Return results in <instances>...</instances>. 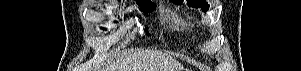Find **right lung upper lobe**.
I'll return each instance as SVG.
<instances>
[{
	"mask_svg": "<svg viewBox=\"0 0 301 71\" xmlns=\"http://www.w3.org/2000/svg\"><path fill=\"white\" fill-rule=\"evenodd\" d=\"M137 3H141V4H154L151 2V0H136Z\"/></svg>",
	"mask_w": 301,
	"mask_h": 71,
	"instance_id": "right-lung-upper-lobe-1",
	"label": "right lung upper lobe"
}]
</instances>
